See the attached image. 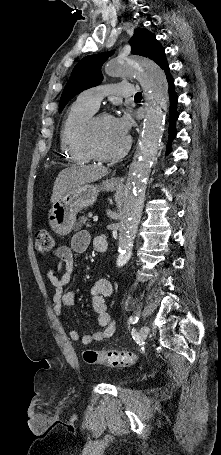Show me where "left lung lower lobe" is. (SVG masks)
Listing matches in <instances>:
<instances>
[{"mask_svg": "<svg viewBox=\"0 0 221 455\" xmlns=\"http://www.w3.org/2000/svg\"><path fill=\"white\" fill-rule=\"evenodd\" d=\"M163 69L167 75V80L169 83V95H170V123H169V141H168V150H167V152L169 153L171 151V149H170L171 142H172L173 138H175V136H176L175 122L178 119V113H177L175 107L178 102V96L176 95L175 90H174V79L169 74L170 69H169L168 65Z\"/></svg>", "mask_w": 221, "mask_h": 455, "instance_id": "obj_1", "label": "left lung lower lobe"}]
</instances>
